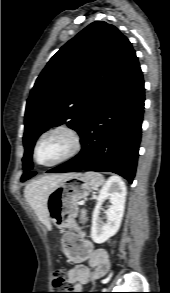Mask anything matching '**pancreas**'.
Returning a JSON list of instances; mask_svg holds the SVG:
<instances>
[{
  "mask_svg": "<svg viewBox=\"0 0 170 293\" xmlns=\"http://www.w3.org/2000/svg\"><path fill=\"white\" fill-rule=\"evenodd\" d=\"M80 222L82 224L87 222V217H86V212L85 211H82L81 214H80Z\"/></svg>",
  "mask_w": 170,
  "mask_h": 293,
  "instance_id": "obj_1",
  "label": "pancreas"
}]
</instances>
